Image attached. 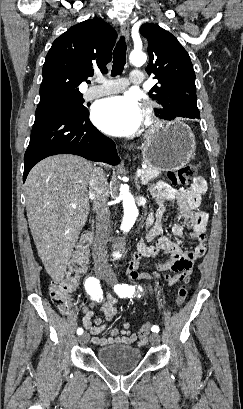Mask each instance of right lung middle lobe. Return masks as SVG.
<instances>
[{"instance_id":"obj_1","label":"right lung middle lobe","mask_w":243,"mask_h":409,"mask_svg":"<svg viewBox=\"0 0 243 409\" xmlns=\"http://www.w3.org/2000/svg\"><path fill=\"white\" fill-rule=\"evenodd\" d=\"M82 95L69 98H53L40 101L36 111L55 110L63 113L85 114L88 109L83 105Z\"/></svg>"}]
</instances>
